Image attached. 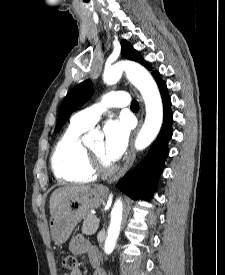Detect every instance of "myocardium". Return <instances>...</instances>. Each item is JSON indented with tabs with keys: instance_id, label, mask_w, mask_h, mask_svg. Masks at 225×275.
<instances>
[{
	"instance_id": "myocardium-1",
	"label": "myocardium",
	"mask_w": 225,
	"mask_h": 275,
	"mask_svg": "<svg viewBox=\"0 0 225 275\" xmlns=\"http://www.w3.org/2000/svg\"><path fill=\"white\" fill-rule=\"evenodd\" d=\"M85 150L88 156V166L95 175H106L112 173L115 170V166L113 164H105L89 148L85 147Z\"/></svg>"
}]
</instances>
